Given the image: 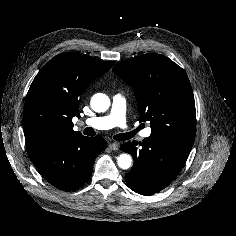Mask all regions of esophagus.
Segmentation results:
<instances>
[{
	"instance_id": "obj_1",
	"label": "esophagus",
	"mask_w": 236,
	"mask_h": 236,
	"mask_svg": "<svg viewBox=\"0 0 236 236\" xmlns=\"http://www.w3.org/2000/svg\"><path fill=\"white\" fill-rule=\"evenodd\" d=\"M109 148L113 151L119 150V144L117 142H111Z\"/></svg>"
}]
</instances>
